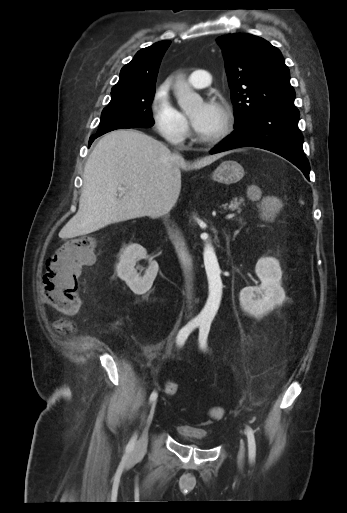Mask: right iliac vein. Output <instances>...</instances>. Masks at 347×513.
I'll return each instance as SVG.
<instances>
[{
	"label": "right iliac vein",
	"mask_w": 347,
	"mask_h": 513,
	"mask_svg": "<svg viewBox=\"0 0 347 513\" xmlns=\"http://www.w3.org/2000/svg\"><path fill=\"white\" fill-rule=\"evenodd\" d=\"M155 408H156V401H154L150 405L149 412H148V415L146 418L145 428H144L143 433L141 434L140 438L137 440V442L135 444V448H134V452H133L135 456L142 455L146 450L147 441H148L147 433H148L149 426L153 420Z\"/></svg>",
	"instance_id": "obj_1"
}]
</instances>
